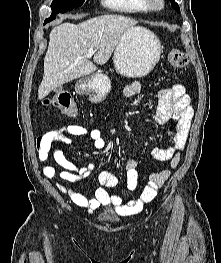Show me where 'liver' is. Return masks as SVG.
Returning a JSON list of instances; mask_svg holds the SVG:
<instances>
[{"instance_id":"6515ba94","label":"liver","mask_w":221,"mask_h":263,"mask_svg":"<svg viewBox=\"0 0 221 263\" xmlns=\"http://www.w3.org/2000/svg\"><path fill=\"white\" fill-rule=\"evenodd\" d=\"M137 23L122 15H101L79 24L54 27L49 35L38 98L43 99L56 87L94 72L97 67L87 56L90 48L95 49L94 62L104 65L123 34Z\"/></svg>"}]
</instances>
